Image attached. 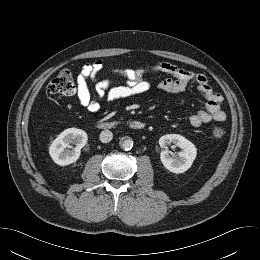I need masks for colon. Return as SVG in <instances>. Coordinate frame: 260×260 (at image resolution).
Segmentation results:
<instances>
[{"label": "colon", "instance_id": "obj_1", "mask_svg": "<svg viewBox=\"0 0 260 260\" xmlns=\"http://www.w3.org/2000/svg\"><path fill=\"white\" fill-rule=\"evenodd\" d=\"M76 85L73 73L64 69L49 83L48 91L51 94H60L70 96L75 93ZM226 134V127L222 124L215 123L210 127V135L214 140L222 139Z\"/></svg>", "mask_w": 260, "mask_h": 260}]
</instances>
